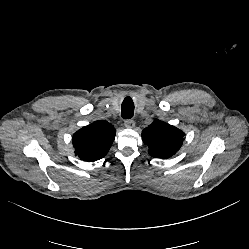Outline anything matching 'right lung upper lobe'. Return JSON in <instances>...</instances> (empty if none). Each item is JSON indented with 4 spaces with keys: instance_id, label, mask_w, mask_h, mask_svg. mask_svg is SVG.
<instances>
[{
    "instance_id": "cb5924a9",
    "label": "right lung upper lobe",
    "mask_w": 249,
    "mask_h": 249,
    "mask_svg": "<svg viewBox=\"0 0 249 249\" xmlns=\"http://www.w3.org/2000/svg\"><path fill=\"white\" fill-rule=\"evenodd\" d=\"M115 133L113 125L101 120L81 128L73 135L75 154L89 162L103 158L114 141Z\"/></svg>"
}]
</instances>
